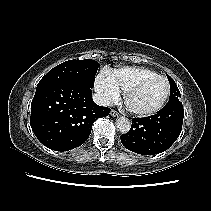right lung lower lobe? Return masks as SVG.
<instances>
[{
	"instance_id": "right-lung-lower-lobe-1",
	"label": "right lung lower lobe",
	"mask_w": 211,
	"mask_h": 211,
	"mask_svg": "<svg viewBox=\"0 0 211 211\" xmlns=\"http://www.w3.org/2000/svg\"><path fill=\"white\" fill-rule=\"evenodd\" d=\"M110 109L95 104L91 88L78 83H58L36 89L30 125L49 149L67 151L82 145L92 125Z\"/></svg>"
}]
</instances>
